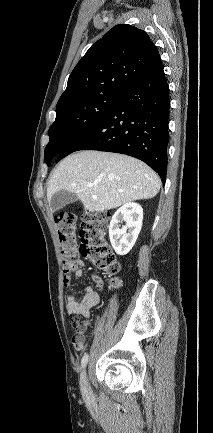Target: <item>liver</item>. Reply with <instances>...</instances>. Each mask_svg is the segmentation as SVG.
<instances>
[{
    "mask_svg": "<svg viewBox=\"0 0 213 433\" xmlns=\"http://www.w3.org/2000/svg\"><path fill=\"white\" fill-rule=\"evenodd\" d=\"M88 183H97L89 187ZM158 175L142 161L118 153L80 151L66 157L52 174L47 200L60 190L74 193L89 212L151 199L160 190Z\"/></svg>",
    "mask_w": 213,
    "mask_h": 433,
    "instance_id": "liver-1",
    "label": "liver"
}]
</instances>
